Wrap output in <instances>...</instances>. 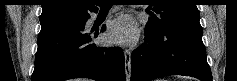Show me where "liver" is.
I'll return each instance as SVG.
<instances>
[{
    "instance_id": "1",
    "label": "liver",
    "mask_w": 237,
    "mask_h": 81,
    "mask_svg": "<svg viewBox=\"0 0 237 81\" xmlns=\"http://www.w3.org/2000/svg\"><path fill=\"white\" fill-rule=\"evenodd\" d=\"M77 81H87V80H86V79H82V78H81V79H79V80H77Z\"/></svg>"
}]
</instances>
